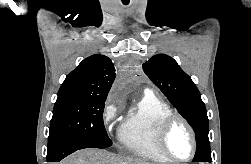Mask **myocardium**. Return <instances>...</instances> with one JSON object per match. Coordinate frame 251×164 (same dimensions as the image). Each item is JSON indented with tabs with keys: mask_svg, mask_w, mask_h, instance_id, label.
I'll return each mask as SVG.
<instances>
[{
	"mask_svg": "<svg viewBox=\"0 0 251 164\" xmlns=\"http://www.w3.org/2000/svg\"><path fill=\"white\" fill-rule=\"evenodd\" d=\"M180 122L185 126V128L188 130L190 137H191V142H192V150L191 154L187 158H176L174 157L168 150L167 148V137L169 135L170 130L172 127L175 125V123ZM157 145L161 153L171 162L175 163H183V162H188L190 161L196 154L197 151V139H196V134L195 131L192 127V125L188 122L186 118L183 116L172 113L165 117L157 130Z\"/></svg>",
	"mask_w": 251,
	"mask_h": 164,
	"instance_id": "myocardium-1",
	"label": "myocardium"
}]
</instances>
